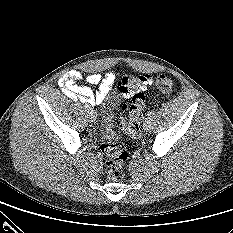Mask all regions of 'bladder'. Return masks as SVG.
Wrapping results in <instances>:
<instances>
[{"mask_svg":"<svg viewBox=\"0 0 233 233\" xmlns=\"http://www.w3.org/2000/svg\"><path fill=\"white\" fill-rule=\"evenodd\" d=\"M119 108V103H116L103 114L99 126L101 139L107 141H116L118 139L119 126L117 123V118Z\"/></svg>","mask_w":233,"mask_h":233,"instance_id":"bladder-1","label":"bladder"}]
</instances>
